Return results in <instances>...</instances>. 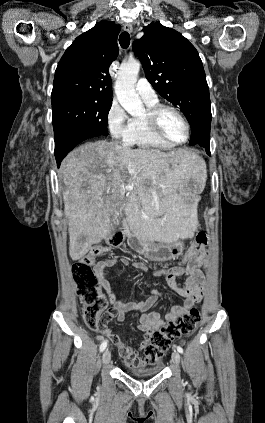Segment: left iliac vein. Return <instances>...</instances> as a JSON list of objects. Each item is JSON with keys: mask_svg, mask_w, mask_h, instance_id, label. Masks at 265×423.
Returning a JSON list of instances; mask_svg holds the SVG:
<instances>
[{"mask_svg": "<svg viewBox=\"0 0 265 423\" xmlns=\"http://www.w3.org/2000/svg\"><path fill=\"white\" fill-rule=\"evenodd\" d=\"M172 362L174 365L178 366L180 363V354L176 351L172 353Z\"/></svg>", "mask_w": 265, "mask_h": 423, "instance_id": "4c4485c4", "label": "left iliac vein"}]
</instances>
